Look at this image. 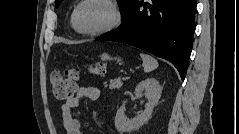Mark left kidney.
I'll return each mask as SVG.
<instances>
[{
  "label": "left kidney",
  "mask_w": 239,
  "mask_h": 134,
  "mask_svg": "<svg viewBox=\"0 0 239 134\" xmlns=\"http://www.w3.org/2000/svg\"><path fill=\"white\" fill-rule=\"evenodd\" d=\"M134 93L137 97L145 96L147 98L145 110L137 114L136 117L129 119L125 116L126 101H124L117 110L115 117V127L120 134L139 129L151 118L153 109L161 97L162 87L155 78H147L138 84Z\"/></svg>",
  "instance_id": "left-kidney-1"
}]
</instances>
